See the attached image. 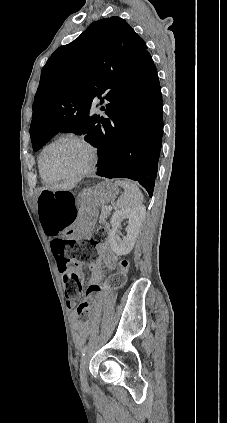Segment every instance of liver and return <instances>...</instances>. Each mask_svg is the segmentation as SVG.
Returning <instances> with one entry per match:
<instances>
[{"instance_id": "liver-1", "label": "liver", "mask_w": 227, "mask_h": 423, "mask_svg": "<svg viewBox=\"0 0 227 423\" xmlns=\"http://www.w3.org/2000/svg\"><path fill=\"white\" fill-rule=\"evenodd\" d=\"M74 188V184H71V182H61V184H52V186H46V188H43V190H72Z\"/></svg>"}]
</instances>
